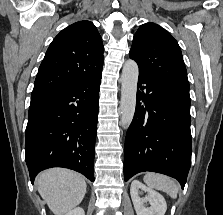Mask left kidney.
Listing matches in <instances>:
<instances>
[{"mask_svg": "<svg viewBox=\"0 0 223 215\" xmlns=\"http://www.w3.org/2000/svg\"><path fill=\"white\" fill-rule=\"evenodd\" d=\"M140 189L147 191L146 197H139ZM130 193L137 215H164L167 209L166 201L163 195L155 189L147 187L138 179H133ZM145 201H149L150 207H145Z\"/></svg>", "mask_w": 223, "mask_h": 215, "instance_id": "5707ae66", "label": "left kidney"}]
</instances>
